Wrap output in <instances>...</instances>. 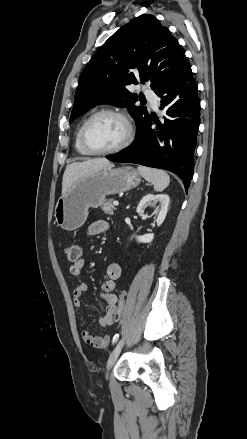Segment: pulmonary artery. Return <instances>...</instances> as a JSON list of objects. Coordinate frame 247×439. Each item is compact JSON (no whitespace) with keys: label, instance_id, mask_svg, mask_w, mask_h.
<instances>
[{"label":"pulmonary artery","instance_id":"e3ab8cb5","mask_svg":"<svg viewBox=\"0 0 247 439\" xmlns=\"http://www.w3.org/2000/svg\"><path fill=\"white\" fill-rule=\"evenodd\" d=\"M144 94L146 95V97L150 100L151 104L153 105V107L155 109H157L158 107V103H157V97L154 94V92L152 90H150L149 88H145L144 89Z\"/></svg>","mask_w":247,"mask_h":439}]
</instances>
